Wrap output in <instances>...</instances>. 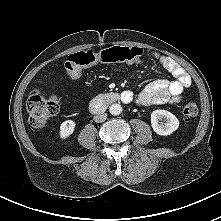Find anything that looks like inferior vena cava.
<instances>
[{"label":"inferior vena cava","mask_w":221,"mask_h":221,"mask_svg":"<svg viewBox=\"0 0 221 221\" xmlns=\"http://www.w3.org/2000/svg\"><path fill=\"white\" fill-rule=\"evenodd\" d=\"M107 119L106 113L97 114L94 116V121L97 123H102Z\"/></svg>","instance_id":"1"}]
</instances>
